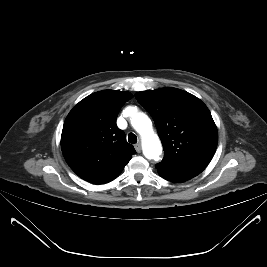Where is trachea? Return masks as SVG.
Segmentation results:
<instances>
[{
  "mask_svg": "<svg viewBox=\"0 0 267 267\" xmlns=\"http://www.w3.org/2000/svg\"><path fill=\"white\" fill-rule=\"evenodd\" d=\"M128 141L132 144H135L137 142V136L133 133L128 134Z\"/></svg>",
  "mask_w": 267,
  "mask_h": 267,
  "instance_id": "3493384b",
  "label": "trachea"
}]
</instances>
